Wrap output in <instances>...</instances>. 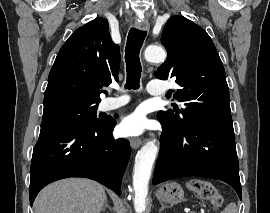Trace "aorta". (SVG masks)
<instances>
[{
    "instance_id": "obj_1",
    "label": "aorta",
    "mask_w": 270,
    "mask_h": 213,
    "mask_svg": "<svg viewBox=\"0 0 270 213\" xmlns=\"http://www.w3.org/2000/svg\"><path fill=\"white\" fill-rule=\"evenodd\" d=\"M144 56L148 62L160 63L166 59V52L160 46H149L146 48ZM157 152L156 140L153 139L148 141L137 154L133 175L134 208L136 213H142L146 208L148 185Z\"/></svg>"
}]
</instances>
